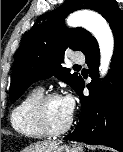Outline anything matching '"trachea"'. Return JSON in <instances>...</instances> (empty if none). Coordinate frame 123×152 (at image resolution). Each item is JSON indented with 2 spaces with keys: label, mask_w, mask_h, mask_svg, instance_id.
<instances>
[{
  "label": "trachea",
  "mask_w": 123,
  "mask_h": 152,
  "mask_svg": "<svg viewBox=\"0 0 123 152\" xmlns=\"http://www.w3.org/2000/svg\"><path fill=\"white\" fill-rule=\"evenodd\" d=\"M75 68L79 69V68H81V66H79V65H76V66H75Z\"/></svg>",
  "instance_id": "3493384b"
}]
</instances>
